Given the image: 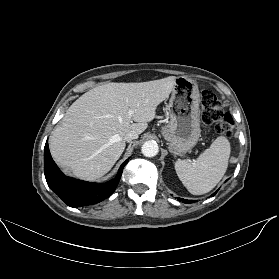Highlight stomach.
Segmentation results:
<instances>
[{
	"label": "stomach",
	"instance_id": "stomach-1",
	"mask_svg": "<svg viewBox=\"0 0 279 279\" xmlns=\"http://www.w3.org/2000/svg\"><path fill=\"white\" fill-rule=\"evenodd\" d=\"M200 92L198 84L186 77H177L168 108L170 121L162 128L170 152L184 154L191 150L200 137Z\"/></svg>",
	"mask_w": 279,
	"mask_h": 279
}]
</instances>
